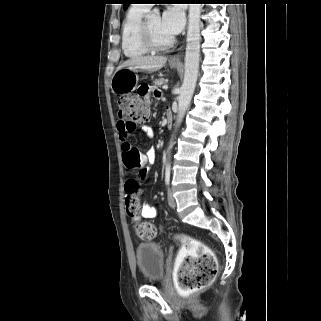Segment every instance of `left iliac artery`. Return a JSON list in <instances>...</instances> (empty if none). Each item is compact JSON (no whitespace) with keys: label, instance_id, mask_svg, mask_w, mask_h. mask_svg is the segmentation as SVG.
Returning a JSON list of instances; mask_svg holds the SVG:
<instances>
[{"label":"left iliac artery","instance_id":"44dca946","mask_svg":"<svg viewBox=\"0 0 321 321\" xmlns=\"http://www.w3.org/2000/svg\"><path fill=\"white\" fill-rule=\"evenodd\" d=\"M170 182V164H167L165 171V183L168 186Z\"/></svg>","mask_w":321,"mask_h":321}]
</instances>
